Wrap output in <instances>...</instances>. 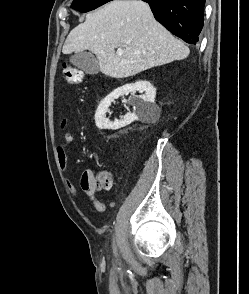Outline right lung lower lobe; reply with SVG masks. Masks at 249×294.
Instances as JSON below:
<instances>
[{"label": "right lung lower lobe", "instance_id": "1", "mask_svg": "<svg viewBox=\"0 0 249 294\" xmlns=\"http://www.w3.org/2000/svg\"><path fill=\"white\" fill-rule=\"evenodd\" d=\"M154 17L176 36L196 44L203 27L205 0H143Z\"/></svg>", "mask_w": 249, "mask_h": 294}]
</instances>
